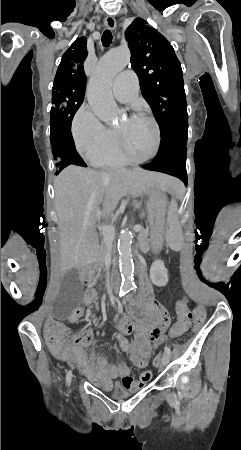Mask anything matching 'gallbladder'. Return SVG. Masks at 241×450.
<instances>
[{
    "mask_svg": "<svg viewBox=\"0 0 241 450\" xmlns=\"http://www.w3.org/2000/svg\"><path fill=\"white\" fill-rule=\"evenodd\" d=\"M83 286L79 278V270H68L61 283V292L56 297L53 313L56 323H65L74 310H79Z\"/></svg>",
    "mask_w": 241,
    "mask_h": 450,
    "instance_id": "gallbladder-1",
    "label": "gallbladder"
}]
</instances>
